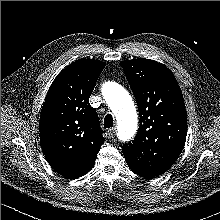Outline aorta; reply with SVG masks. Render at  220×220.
<instances>
[{"label": "aorta", "mask_w": 220, "mask_h": 220, "mask_svg": "<svg viewBox=\"0 0 220 220\" xmlns=\"http://www.w3.org/2000/svg\"><path fill=\"white\" fill-rule=\"evenodd\" d=\"M102 94L117 120V136L129 141L137 130V113L133 100L126 89L115 82L104 84Z\"/></svg>", "instance_id": "762f6f07"}]
</instances>
